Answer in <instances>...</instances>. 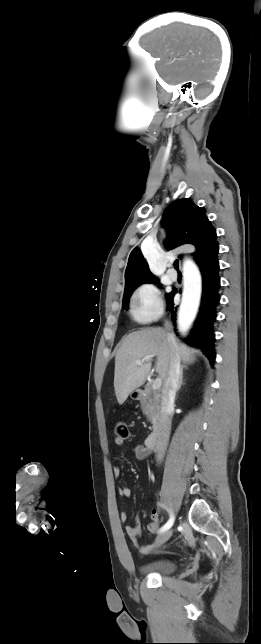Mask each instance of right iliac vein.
Returning <instances> with one entry per match:
<instances>
[{
    "mask_svg": "<svg viewBox=\"0 0 261 644\" xmlns=\"http://www.w3.org/2000/svg\"><path fill=\"white\" fill-rule=\"evenodd\" d=\"M171 535H172V531L167 530V531H165V532H163V533H161L160 535L157 536L156 542L159 543V544H163V543H165L166 541L169 540Z\"/></svg>",
    "mask_w": 261,
    "mask_h": 644,
    "instance_id": "1",
    "label": "right iliac vein"
}]
</instances>
